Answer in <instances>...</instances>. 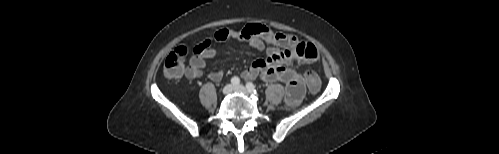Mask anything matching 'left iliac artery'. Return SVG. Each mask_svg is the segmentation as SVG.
<instances>
[{"label":"left iliac artery","instance_id":"1","mask_svg":"<svg viewBox=\"0 0 499 154\" xmlns=\"http://www.w3.org/2000/svg\"><path fill=\"white\" fill-rule=\"evenodd\" d=\"M246 88H247V90H248L250 93H252V94H256V95L258 94V91L256 90V87H255V85H254L253 83L248 82V83L246 84Z\"/></svg>","mask_w":499,"mask_h":154}]
</instances>
